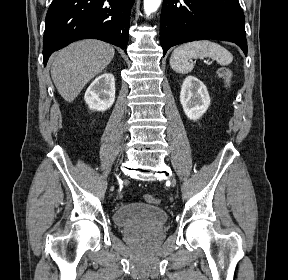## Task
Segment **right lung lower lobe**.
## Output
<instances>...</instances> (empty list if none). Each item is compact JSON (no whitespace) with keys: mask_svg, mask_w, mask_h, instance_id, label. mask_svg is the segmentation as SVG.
Returning a JSON list of instances; mask_svg holds the SVG:
<instances>
[{"mask_svg":"<svg viewBox=\"0 0 288 280\" xmlns=\"http://www.w3.org/2000/svg\"><path fill=\"white\" fill-rule=\"evenodd\" d=\"M134 0H53L45 20L44 66L50 55L69 43L93 38L126 51Z\"/></svg>","mask_w":288,"mask_h":280,"instance_id":"obj_1","label":"right lung lower lobe"}]
</instances>
